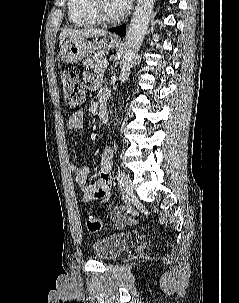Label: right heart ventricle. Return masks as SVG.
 <instances>
[{
  "instance_id": "obj_1",
  "label": "right heart ventricle",
  "mask_w": 239,
  "mask_h": 303,
  "mask_svg": "<svg viewBox=\"0 0 239 303\" xmlns=\"http://www.w3.org/2000/svg\"><path fill=\"white\" fill-rule=\"evenodd\" d=\"M70 21L79 27H90L100 23L91 11L90 0H67Z\"/></svg>"
}]
</instances>
